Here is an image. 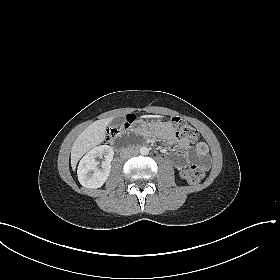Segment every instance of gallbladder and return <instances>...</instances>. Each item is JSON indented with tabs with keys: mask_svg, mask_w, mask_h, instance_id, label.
Instances as JSON below:
<instances>
[{
	"mask_svg": "<svg viewBox=\"0 0 280 280\" xmlns=\"http://www.w3.org/2000/svg\"><path fill=\"white\" fill-rule=\"evenodd\" d=\"M125 117L124 116H119L117 118H115L113 121H112V126L113 127H120L122 126L124 123H125Z\"/></svg>",
	"mask_w": 280,
	"mask_h": 280,
	"instance_id": "1",
	"label": "gallbladder"
}]
</instances>
